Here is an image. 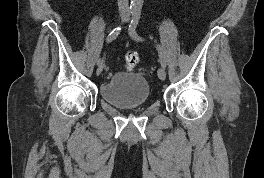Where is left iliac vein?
I'll return each mask as SVG.
<instances>
[{"label": "left iliac vein", "instance_id": "1", "mask_svg": "<svg viewBox=\"0 0 264 178\" xmlns=\"http://www.w3.org/2000/svg\"><path fill=\"white\" fill-rule=\"evenodd\" d=\"M126 21H127V20H126ZM158 77H159L162 81L165 80V78H166V71H165V69H164L163 67H161V68L158 69Z\"/></svg>", "mask_w": 264, "mask_h": 178}]
</instances>
